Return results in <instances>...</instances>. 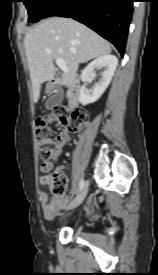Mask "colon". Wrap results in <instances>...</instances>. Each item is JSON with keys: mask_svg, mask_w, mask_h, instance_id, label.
<instances>
[{"mask_svg": "<svg viewBox=\"0 0 158 275\" xmlns=\"http://www.w3.org/2000/svg\"><path fill=\"white\" fill-rule=\"evenodd\" d=\"M56 122L60 127H65L72 132H78L87 122V113L82 109L70 111L67 107L59 105L53 108L47 117L36 119V139L38 149L42 156L53 151L58 139L57 132L51 127V123ZM47 172L52 169L51 163L46 165ZM44 182L49 184L54 199L64 196L67 177L61 170H56L44 178Z\"/></svg>", "mask_w": 158, "mask_h": 275, "instance_id": "colon-1", "label": "colon"}]
</instances>
